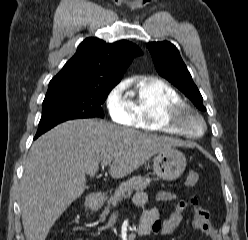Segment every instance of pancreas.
I'll use <instances>...</instances> for the list:
<instances>
[{
	"instance_id": "cf45deb5",
	"label": "pancreas",
	"mask_w": 248,
	"mask_h": 240,
	"mask_svg": "<svg viewBox=\"0 0 248 240\" xmlns=\"http://www.w3.org/2000/svg\"><path fill=\"white\" fill-rule=\"evenodd\" d=\"M151 179L142 177V176H134L127 181L121 183L118 189L115 190V193L107 202V207L102 212V218H105L109 212L111 207H115L118 202H120L123 198L129 197L134 190H143L148 185H150Z\"/></svg>"
}]
</instances>
